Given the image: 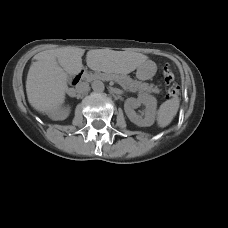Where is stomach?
Wrapping results in <instances>:
<instances>
[{
	"instance_id": "1",
	"label": "stomach",
	"mask_w": 228,
	"mask_h": 228,
	"mask_svg": "<svg viewBox=\"0 0 228 228\" xmlns=\"http://www.w3.org/2000/svg\"><path fill=\"white\" fill-rule=\"evenodd\" d=\"M155 74V67L152 63H146L139 67L136 72V76L139 80H150Z\"/></svg>"
}]
</instances>
